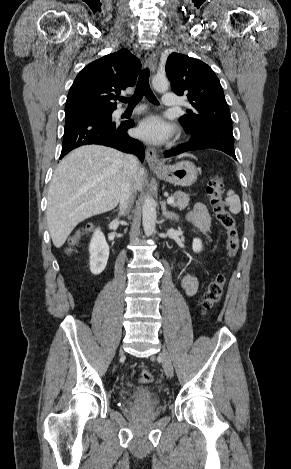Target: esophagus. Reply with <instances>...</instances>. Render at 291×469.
<instances>
[{"label":"esophagus","instance_id":"obj_1","mask_svg":"<svg viewBox=\"0 0 291 469\" xmlns=\"http://www.w3.org/2000/svg\"><path fill=\"white\" fill-rule=\"evenodd\" d=\"M146 64L150 68L151 72H155L156 67H157V59L154 53H151L147 58H146ZM146 161L150 168H162L163 163L159 159L156 150L153 147H147L146 148Z\"/></svg>","mask_w":291,"mask_h":469}]
</instances>
